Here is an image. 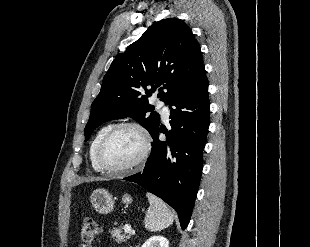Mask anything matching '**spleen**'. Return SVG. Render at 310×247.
<instances>
[{"label":"spleen","mask_w":310,"mask_h":247,"mask_svg":"<svg viewBox=\"0 0 310 247\" xmlns=\"http://www.w3.org/2000/svg\"><path fill=\"white\" fill-rule=\"evenodd\" d=\"M150 206L144 220L145 228L151 232L163 230L173 223V213L160 198L146 194Z\"/></svg>","instance_id":"spleen-1"}]
</instances>
